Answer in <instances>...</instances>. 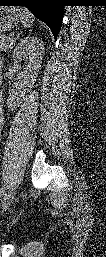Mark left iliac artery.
Listing matches in <instances>:
<instances>
[{"label":"left iliac artery","mask_w":106,"mask_h":257,"mask_svg":"<svg viewBox=\"0 0 106 257\" xmlns=\"http://www.w3.org/2000/svg\"><path fill=\"white\" fill-rule=\"evenodd\" d=\"M5 192V187L3 186L0 190V196L2 197L4 195Z\"/></svg>","instance_id":"left-iliac-artery-1"}]
</instances>
